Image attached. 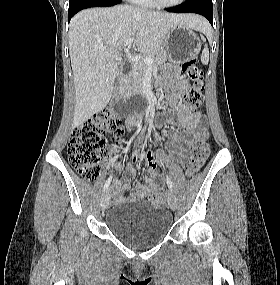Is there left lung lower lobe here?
<instances>
[{"label": "left lung lower lobe", "mask_w": 280, "mask_h": 285, "mask_svg": "<svg viewBox=\"0 0 280 285\" xmlns=\"http://www.w3.org/2000/svg\"><path fill=\"white\" fill-rule=\"evenodd\" d=\"M212 0H186L183 4L168 8L167 11L175 13H197L203 15L213 25Z\"/></svg>", "instance_id": "left-lung-lower-lobe-1"}]
</instances>
